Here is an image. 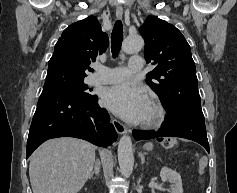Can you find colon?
<instances>
[{
    "label": "colon",
    "instance_id": "obj_1",
    "mask_svg": "<svg viewBox=\"0 0 237 193\" xmlns=\"http://www.w3.org/2000/svg\"><path fill=\"white\" fill-rule=\"evenodd\" d=\"M165 144L168 147H173L177 144V140L176 139H167L165 140ZM207 164H208V160L206 157H201L198 160V171L200 174H203L204 171L207 168Z\"/></svg>",
    "mask_w": 237,
    "mask_h": 193
}]
</instances>
